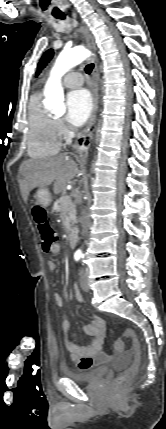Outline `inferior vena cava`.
Returning <instances> with one entry per match:
<instances>
[{
	"label": "inferior vena cava",
	"instance_id": "inferior-vena-cava-1",
	"mask_svg": "<svg viewBox=\"0 0 166 429\" xmlns=\"http://www.w3.org/2000/svg\"><path fill=\"white\" fill-rule=\"evenodd\" d=\"M80 223L82 228V236H85L90 226V217L85 209H82L81 211Z\"/></svg>",
	"mask_w": 166,
	"mask_h": 429
}]
</instances>
